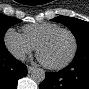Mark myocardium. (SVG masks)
<instances>
[{"instance_id":"1","label":"myocardium","mask_w":89,"mask_h":89,"mask_svg":"<svg viewBox=\"0 0 89 89\" xmlns=\"http://www.w3.org/2000/svg\"><path fill=\"white\" fill-rule=\"evenodd\" d=\"M60 32H66L67 34L70 35L72 42H73V48H72V52H71L70 56L60 64L52 65V64L45 63V62H41L46 68L51 69V70H60V69L67 67L74 60L77 50H78V42H77V38H76L75 34L68 28L60 27L58 29L50 31L49 33H47L45 36H43L40 39V41L36 45V54H37L38 59L40 56L41 47L46 42H48L54 35H56L57 33H60Z\"/></svg>"}]
</instances>
